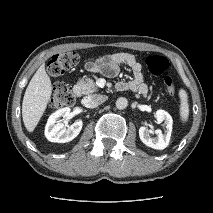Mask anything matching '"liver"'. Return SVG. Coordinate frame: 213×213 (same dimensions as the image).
Wrapping results in <instances>:
<instances>
[{"label":"liver","mask_w":213,"mask_h":213,"mask_svg":"<svg viewBox=\"0 0 213 213\" xmlns=\"http://www.w3.org/2000/svg\"><path fill=\"white\" fill-rule=\"evenodd\" d=\"M52 93L50 77L42 64L29 82L22 103V117L29 132H33L41 119Z\"/></svg>","instance_id":"6515ba94"}]
</instances>
